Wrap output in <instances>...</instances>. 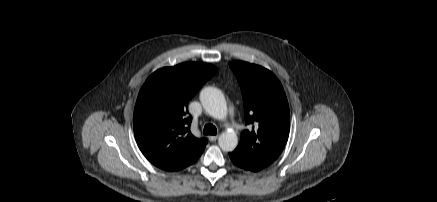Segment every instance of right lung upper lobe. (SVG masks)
Here are the masks:
<instances>
[{
    "mask_svg": "<svg viewBox=\"0 0 437 202\" xmlns=\"http://www.w3.org/2000/svg\"><path fill=\"white\" fill-rule=\"evenodd\" d=\"M217 72L211 64L181 63L155 71L142 86L134 108L136 142L145 157L166 171H179L195 163L206 138L190 132V99Z\"/></svg>",
    "mask_w": 437,
    "mask_h": 202,
    "instance_id": "right-lung-upper-lobe-1",
    "label": "right lung upper lobe"
}]
</instances>
